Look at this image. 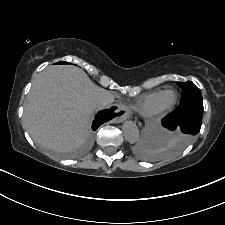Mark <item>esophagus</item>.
Returning <instances> with one entry per match:
<instances>
[{"mask_svg": "<svg viewBox=\"0 0 225 225\" xmlns=\"http://www.w3.org/2000/svg\"><path fill=\"white\" fill-rule=\"evenodd\" d=\"M119 108V116H117V122H123L128 118L129 110L125 105H118Z\"/></svg>", "mask_w": 225, "mask_h": 225, "instance_id": "esophagus-1", "label": "esophagus"}]
</instances>
